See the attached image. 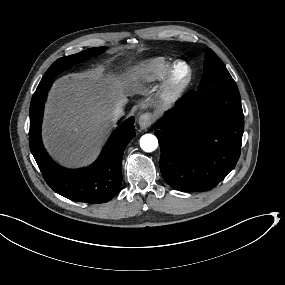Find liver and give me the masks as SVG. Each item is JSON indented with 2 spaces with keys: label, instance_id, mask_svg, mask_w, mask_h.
I'll use <instances>...</instances> for the list:
<instances>
[{
  "label": "liver",
  "instance_id": "obj_1",
  "mask_svg": "<svg viewBox=\"0 0 285 285\" xmlns=\"http://www.w3.org/2000/svg\"><path fill=\"white\" fill-rule=\"evenodd\" d=\"M103 67L57 79L45 104L43 141L49 153L67 167L92 162L115 126L114 109L131 94H146L137 68L115 76Z\"/></svg>",
  "mask_w": 285,
  "mask_h": 285
}]
</instances>
